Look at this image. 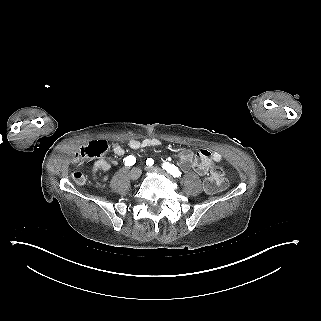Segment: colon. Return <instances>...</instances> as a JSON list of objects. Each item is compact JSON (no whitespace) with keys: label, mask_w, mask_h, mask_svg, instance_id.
Segmentation results:
<instances>
[{"label":"colon","mask_w":321,"mask_h":321,"mask_svg":"<svg viewBox=\"0 0 321 321\" xmlns=\"http://www.w3.org/2000/svg\"><path fill=\"white\" fill-rule=\"evenodd\" d=\"M101 152V149L96 146L89 145L86 148H81L76 154L78 158L86 156H95ZM73 177L77 183H83L84 176L81 172H75ZM227 185L225 173L220 168L213 169L204 180V188L209 193H215L223 190Z\"/></svg>","instance_id":"1"}]
</instances>
